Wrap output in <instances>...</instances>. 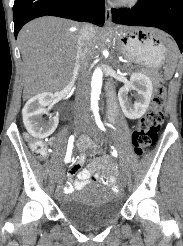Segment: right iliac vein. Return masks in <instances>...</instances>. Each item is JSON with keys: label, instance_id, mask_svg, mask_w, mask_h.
Instances as JSON below:
<instances>
[{"label": "right iliac vein", "instance_id": "obj_1", "mask_svg": "<svg viewBox=\"0 0 183 246\" xmlns=\"http://www.w3.org/2000/svg\"><path fill=\"white\" fill-rule=\"evenodd\" d=\"M83 128V124L81 122H75L74 131L75 133H79Z\"/></svg>", "mask_w": 183, "mask_h": 246}]
</instances>
